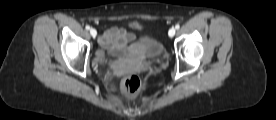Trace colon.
I'll return each mask as SVG.
<instances>
[{
  "label": "colon",
  "instance_id": "obj_1",
  "mask_svg": "<svg viewBox=\"0 0 276 120\" xmlns=\"http://www.w3.org/2000/svg\"><path fill=\"white\" fill-rule=\"evenodd\" d=\"M122 90L130 98H137L140 90V80L135 74H128L122 81Z\"/></svg>",
  "mask_w": 276,
  "mask_h": 120
}]
</instances>
